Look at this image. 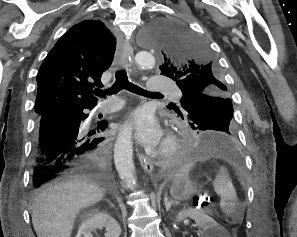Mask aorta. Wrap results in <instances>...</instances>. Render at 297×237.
<instances>
[{"label": "aorta", "instance_id": "1", "mask_svg": "<svg viewBox=\"0 0 297 237\" xmlns=\"http://www.w3.org/2000/svg\"><path fill=\"white\" fill-rule=\"evenodd\" d=\"M135 62L139 68L147 69L155 65V58L151 53L141 51L135 56ZM131 134L132 129L129 124H126L118 134L114 146V161L121 179L126 183L128 188L132 189L135 186V166L133 162Z\"/></svg>", "mask_w": 297, "mask_h": 237}]
</instances>
